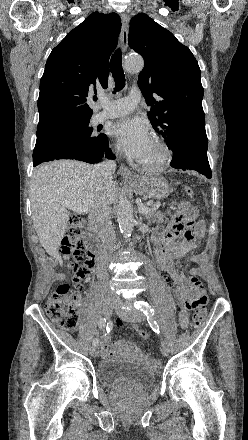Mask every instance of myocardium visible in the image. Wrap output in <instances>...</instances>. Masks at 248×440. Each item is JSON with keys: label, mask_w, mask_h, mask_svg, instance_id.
Here are the masks:
<instances>
[{"label": "myocardium", "mask_w": 248, "mask_h": 440, "mask_svg": "<svg viewBox=\"0 0 248 440\" xmlns=\"http://www.w3.org/2000/svg\"><path fill=\"white\" fill-rule=\"evenodd\" d=\"M152 143L158 152V157L153 162H140L139 166L147 172H158L163 170L168 164L171 152L167 144L160 138H154Z\"/></svg>", "instance_id": "1"}]
</instances>
